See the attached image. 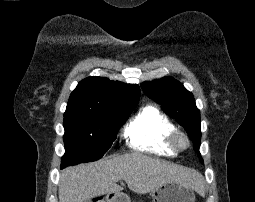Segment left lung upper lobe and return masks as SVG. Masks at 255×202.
Listing matches in <instances>:
<instances>
[{"label": "left lung upper lobe", "mask_w": 255, "mask_h": 202, "mask_svg": "<svg viewBox=\"0 0 255 202\" xmlns=\"http://www.w3.org/2000/svg\"><path fill=\"white\" fill-rule=\"evenodd\" d=\"M141 87L148 97L161 104L162 109L185 128L193 141L194 150L198 152L200 161L203 163L199 153L201 139L200 113L192 93L172 77L144 82Z\"/></svg>", "instance_id": "left-lung-upper-lobe-1"}]
</instances>
